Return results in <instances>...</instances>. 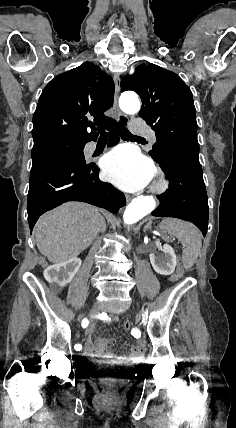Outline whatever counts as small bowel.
<instances>
[{
    "label": "small bowel",
    "instance_id": "small-bowel-1",
    "mask_svg": "<svg viewBox=\"0 0 236 428\" xmlns=\"http://www.w3.org/2000/svg\"><path fill=\"white\" fill-rule=\"evenodd\" d=\"M102 320L106 323L117 322L119 319L115 315H105ZM93 331V327L86 330L87 335H90ZM111 341L104 337H99L95 341H92L88 337L84 355L89 358H101L104 362L112 365H118L123 367H136L143 359V353L145 350V344L139 340L137 343L131 346V353L129 355H117L113 351H108L107 348Z\"/></svg>",
    "mask_w": 236,
    "mask_h": 428
}]
</instances>
